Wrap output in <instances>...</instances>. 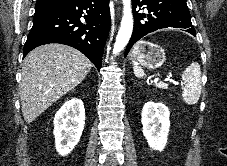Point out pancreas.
<instances>
[{
	"label": "pancreas",
	"instance_id": "cf45deb5",
	"mask_svg": "<svg viewBox=\"0 0 227 166\" xmlns=\"http://www.w3.org/2000/svg\"><path fill=\"white\" fill-rule=\"evenodd\" d=\"M157 87L161 89H167V86H164L162 83L158 84Z\"/></svg>",
	"mask_w": 227,
	"mask_h": 166
}]
</instances>
